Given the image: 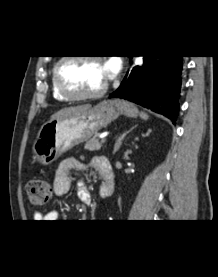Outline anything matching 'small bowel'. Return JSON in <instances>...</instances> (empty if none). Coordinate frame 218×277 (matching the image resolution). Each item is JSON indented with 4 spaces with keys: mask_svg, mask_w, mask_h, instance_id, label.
<instances>
[{
    "mask_svg": "<svg viewBox=\"0 0 218 277\" xmlns=\"http://www.w3.org/2000/svg\"><path fill=\"white\" fill-rule=\"evenodd\" d=\"M105 158V157H104ZM88 168H92L96 170L99 175L103 178L105 176H109L112 178V181L109 182V190L108 194H112V186H113V172L111 163L109 167H100L98 165V157H94L88 163H82L75 158H65L58 165L55 171L54 177V192L57 196H63L67 194L71 187V175L75 171H84ZM109 169V175H107V171ZM77 194L79 200L89 205L92 202L91 194L88 191L85 183L82 180L77 182ZM59 216V212L56 210L48 211V212H35L33 215L35 222H54L57 220Z\"/></svg>",
    "mask_w": 218,
    "mask_h": 277,
    "instance_id": "1",
    "label": "small bowel"
}]
</instances>
